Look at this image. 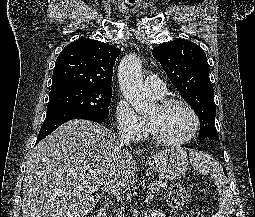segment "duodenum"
Listing matches in <instances>:
<instances>
[{
    "label": "duodenum",
    "mask_w": 255,
    "mask_h": 217,
    "mask_svg": "<svg viewBox=\"0 0 255 217\" xmlns=\"http://www.w3.org/2000/svg\"><path fill=\"white\" fill-rule=\"evenodd\" d=\"M91 217H107L106 209L102 208L94 212ZM153 217V216H152Z\"/></svg>",
    "instance_id": "obj_1"
}]
</instances>
